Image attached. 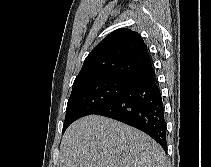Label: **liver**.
<instances>
[{"label": "liver", "instance_id": "6515ba94", "mask_svg": "<svg viewBox=\"0 0 211 167\" xmlns=\"http://www.w3.org/2000/svg\"><path fill=\"white\" fill-rule=\"evenodd\" d=\"M60 167H166V156L140 130L90 115L72 123L64 133Z\"/></svg>", "mask_w": 211, "mask_h": 167}]
</instances>
